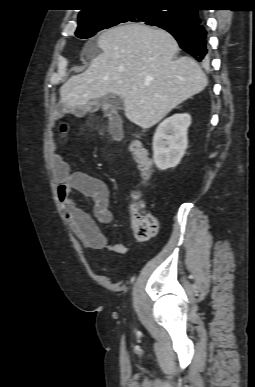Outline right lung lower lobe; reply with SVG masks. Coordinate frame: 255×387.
<instances>
[{
    "label": "right lung lower lobe",
    "mask_w": 255,
    "mask_h": 387,
    "mask_svg": "<svg viewBox=\"0 0 255 387\" xmlns=\"http://www.w3.org/2000/svg\"><path fill=\"white\" fill-rule=\"evenodd\" d=\"M179 12L182 22L164 24L159 27L171 33L181 49L192 55L197 61L206 63L209 53L202 12L187 6L179 8Z\"/></svg>",
    "instance_id": "1"
}]
</instances>
